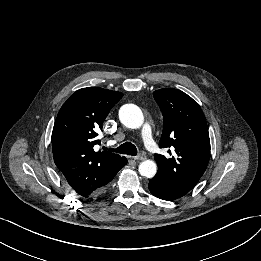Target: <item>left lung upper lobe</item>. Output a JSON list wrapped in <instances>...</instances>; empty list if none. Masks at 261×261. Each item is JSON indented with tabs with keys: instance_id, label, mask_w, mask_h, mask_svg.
<instances>
[{
	"instance_id": "1",
	"label": "left lung upper lobe",
	"mask_w": 261,
	"mask_h": 261,
	"mask_svg": "<svg viewBox=\"0 0 261 261\" xmlns=\"http://www.w3.org/2000/svg\"><path fill=\"white\" fill-rule=\"evenodd\" d=\"M163 114L159 146L168 148L171 157L155 154V176L173 191L186 195L208 165L210 139L200 106L184 92L163 88L153 93Z\"/></svg>"
}]
</instances>
